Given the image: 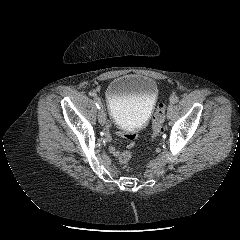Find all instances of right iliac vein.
Segmentation results:
<instances>
[{
    "mask_svg": "<svg viewBox=\"0 0 240 240\" xmlns=\"http://www.w3.org/2000/svg\"><path fill=\"white\" fill-rule=\"evenodd\" d=\"M98 121L101 125H104L106 122V115L102 107L99 109L98 112Z\"/></svg>",
    "mask_w": 240,
    "mask_h": 240,
    "instance_id": "63e3f726",
    "label": "right iliac vein"
}]
</instances>
